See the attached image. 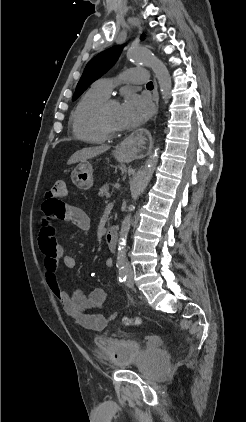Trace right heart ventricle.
I'll return each instance as SVG.
<instances>
[{
  "label": "right heart ventricle",
  "instance_id": "1",
  "mask_svg": "<svg viewBox=\"0 0 246 422\" xmlns=\"http://www.w3.org/2000/svg\"><path fill=\"white\" fill-rule=\"evenodd\" d=\"M108 95L97 89L90 88L78 101L71 114L73 134L84 142L99 144L107 140L108 136L99 127L96 112L99 105Z\"/></svg>",
  "mask_w": 246,
  "mask_h": 422
}]
</instances>
